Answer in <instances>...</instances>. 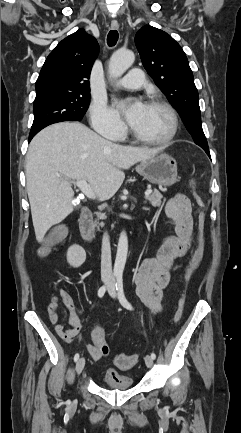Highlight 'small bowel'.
Here are the masks:
<instances>
[{"label":"small bowel","instance_id":"c3829d8e","mask_svg":"<svg viewBox=\"0 0 241 433\" xmlns=\"http://www.w3.org/2000/svg\"><path fill=\"white\" fill-rule=\"evenodd\" d=\"M165 212L175 223L176 235L168 238L160 247L155 257L144 258L139 262L135 276L136 291L144 305L153 313L162 308L164 291L171 281L170 270L174 262L182 259L190 251L192 244V208L191 202L184 194H176L165 206ZM58 297L69 314L68 327L59 323ZM58 297H53L48 305V316L55 326L57 334L65 341L71 342L81 329V322L72 296L65 289H60ZM91 335L94 344L86 346L94 360H99L98 345L105 341L103 329L99 322L92 326ZM107 372H115L110 369Z\"/></svg>","mask_w":241,"mask_h":433}]
</instances>
